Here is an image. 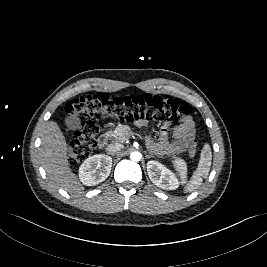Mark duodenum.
I'll list each match as a JSON object with an SVG mask.
<instances>
[{
  "label": "duodenum",
  "instance_id": "duodenum-1",
  "mask_svg": "<svg viewBox=\"0 0 267 267\" xmlns=\"http://www.w3.org/2000/svg\"><path fill=\"white\" fill-rule=\"evenodd\" d=\"M108 143V136L106 134H103L99 137L97 141L98 148L102 149L104 148Z\"/></svg>",
  "mask_w": 267,
  "mask_h": 267
}]
</instances>
